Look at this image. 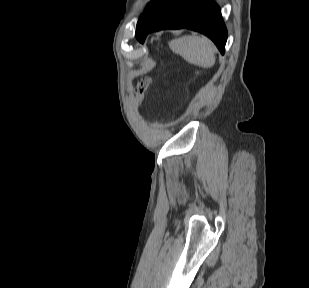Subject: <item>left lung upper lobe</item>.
<instances>
[{"instance_id":"left-lung-upper-lobe-1","label":"left lung upper lobe","mask_w":309,"mask_h":288,"mask_svg":"<svg viewBox=\"0 0 309 288\" xmlns=\"http://www.w3.org/2000/svg\"><path fill=\"white\" fill-rule=\"evenodd\" d=\"M159 0H153L151 1L148 5L146 10L144 11V13L141 15V17L138 20L137 23V28H136V32L138 31V29L140 28V26L142 25L144 19L147 17V15L149 14V12L151 11V9L154 7V5L158 2Z\"/></svg>"}]
</instances>
